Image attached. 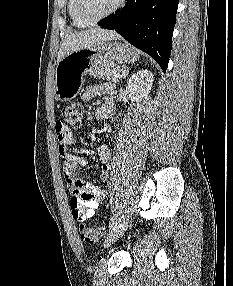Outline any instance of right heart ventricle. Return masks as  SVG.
Segmentation results:
<instances>
[{"label": "right heart ventricle", "mask_w": 233, "mask_h": 286, "mask_svg": "<svg viewBox=\"0 0 233 286\" xmlns=\"http://www.w3.org/2000/svg\"><path fill=\"white\" fill-rule=\"evenodd\" d=\"M67 11H68L69 18L75 27L84 28V27H87L89 25L88 23L83 21L78 16L77 11H76V0H68Z\"/></svg>", "instance_id": "right-heart-ventricle-1"}]
</instances>
